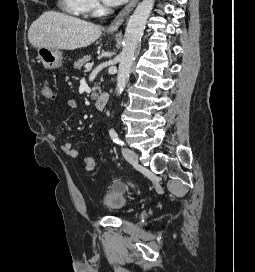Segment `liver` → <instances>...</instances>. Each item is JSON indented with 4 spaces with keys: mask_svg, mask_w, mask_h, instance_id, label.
Masks as SVG:
<instances>
[{
    "mask_svg": "<svg viewBox=\"0 0 255 272\" xmlns=\"http://www.w3.org/2000/svg\"><path fill=\"white\" fill-rule=\"evenodd\" d=\"M102 28L94 23L55 11H46L29 28L28 40L36 48L74 50L94 43Z\"/></svg>",
    "mask_w": 255,
    "mask_h": 272,
    "instance_id": "liver-1",
    "label": "liver"
}]
</instances>
